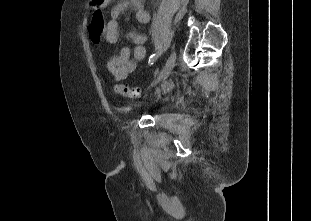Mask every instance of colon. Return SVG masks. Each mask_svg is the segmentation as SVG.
I'll return each mask as SVG.
<instances>
[{
    "label": "colon",
    "mask_w": 311,
    "mask_h": 221,
    "mask_svg": "<svg viewBox=\"0 0 311 221\" xmlns=\"http://www.w3.org/2000/svg\"><path fill=\"white\" fill-rule=\"evenodd\" d=\"M89 31L92 39L98 42L104 36L105 23L103 18V13L97 11L93 14L92 21L90 22ZM114 94H120L129 98H138L141 95V89L139 87H129L125 84H116L113 87Z\"/></svg>",
    "instance_id": "5ec220e1"
}]
</instances>
